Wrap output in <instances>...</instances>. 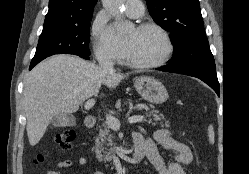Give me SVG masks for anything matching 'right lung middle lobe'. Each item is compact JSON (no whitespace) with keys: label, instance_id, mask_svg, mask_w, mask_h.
I'll return each instance as SVG.
<instances>
[{"label":"right lung middle lobe","instance_id":"dd1d6c3e","mask_svg":"<svg viewBox=\"0 0 249 174\" xmlns=\"http://www.w3.org/2000/svg\"><path fill=\"white\" fill-rule=\"evenodd\" d=\"M91 19L43 30L31 62L42 61L54 54L90 55L88 44Z\"/></svg>","mask_w":249,"mask_h":174}]
</instances>
